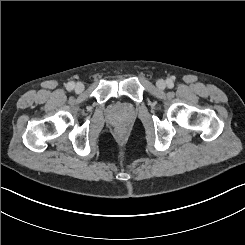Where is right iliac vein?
<instances>
[{
    "label": "right iliac vein",
    "instance_id": "obj_1",
    "mask_svg": "<svg viewBox=\"0 0 245 245\" xmlns=\"http://www.w3.org/2000/svg\"><path fill=\"white\" fill-rule=\"evenodd\" d=\"M83 90H84V84L81 83V82H78V83L75 85V87H74V91H75L76 93H81V92H83Z\"/></svg>",
    "mask_w": 245,
    "mask_h": 245
}]
</instances>
